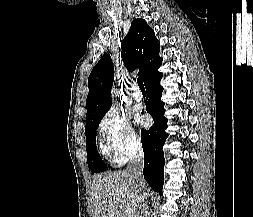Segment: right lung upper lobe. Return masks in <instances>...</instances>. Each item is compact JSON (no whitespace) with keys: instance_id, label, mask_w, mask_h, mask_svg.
I'll list each match as a JSON object with an SVG mask.
<instances>
[{"instance_id":"obj_1","label":"right lung upper lobe","mask_w":253,"mask_h":217,"mask_svg":"<svg viewBox=\"0 0 253 217\" xmlns=\"http://www.w3.org/2000/svg\"><path fill=\"white\" fill-rule=\"evenodd\" d=\"M160 45L154 31L143 19H134L121 43V58L128 71L139 68L138 75L144 81L158 72L162 63L158 56ZM114 67L108 54L95 65L88 78L89 93L86 99V122L105 114L112 105L111 88Z\"/></svg>"}]
</instances>
